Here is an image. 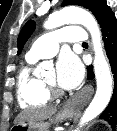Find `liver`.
<instances>
[{"instance_id": "1", "label": "liver", "mask_w": 117, "mask_h": 131, "mask_svg": "<svg viewBox=\"0 0 117 131\" xmlns=\"http://www.w3.org/2000/svg\"><path fill=\"white\" fill-rule=\"evenodd\" d=\"M56 111V107L26 109L18 114L14 123L18 124L26 121H43L54 115Z\"/></svg>"}]
</instances>
